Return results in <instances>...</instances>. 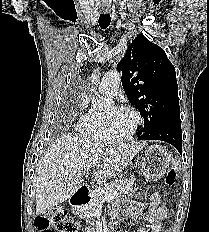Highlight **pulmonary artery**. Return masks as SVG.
<instances>
[{"instance_id":"1","label":"pulmonary artery","mask_w":209,"mask_h":232,"mask_svg":"<svg viewBox=\"0 0 209 232\" xmlns=\"http://www.w3.org/2000/svg\"><path fill=\"white\" fill-rule=\"evenodd\" d=\"M120 85V73L110 70L103 76L100 83V90L107 95H115Z\"/></svg>"}]
</instances>
